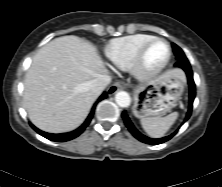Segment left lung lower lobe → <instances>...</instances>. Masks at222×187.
Listing matches in <instances>:
<instances>
[{
	"label": "left lung lower lobe",
	"instance_id": "left-lung-lower-lobe-1",
	"mask_svg": "<svg viewBox=\"0 0 222 187\" xmlns=\"http://www.w3.org/2000/svg\"><path fill=\"white\" fill-rule=\"evenodd\" d=\"M175 66L180 67L185 71V73L187 75V79H188V84H189V107H188V112H187L185 119H184V122H185L190 118L191 113H192L193 101H194V98L196 95L195 83L193 80V72H192L189 61H177L175 63ZM121 116L124 120L126 127L130 131V133L136 139H138L139 141L146 143V144L158 145V144L164 143V142L168 141L169 139H171L177 133V131H175L173 134H171L169 136L162 137L159 139H152V138H149V137L143 135L135 128V126L131 122L129 116L127 115L126 111H123Z\"/></svg>",
	"mask_w": 222,
	"mask_h": 187
}]
</instances>
